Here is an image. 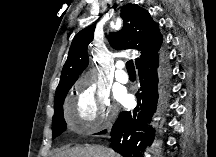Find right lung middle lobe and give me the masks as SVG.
<instances>
[{
  "mask_svg": "<svg viewBox=\"0 0 216 157\" xmlns=\"http://www.w3.org/2000/svg\"><path fill=\"white\" fill-rule=\"evenodd\" d=\"M69 89L70 87L64 89L54 100L55 114L53 116V121H52L53 138L59 136L66 129V122L63 116L62 105Z\"/></svg>",
  "mask_w": 216,
  "mask_h": 157,
  "instance_id": "right-lung-middle-lobe-1",
  "label": "right lung middle lobe"
}]
</instances>
